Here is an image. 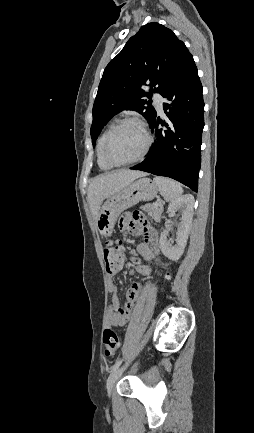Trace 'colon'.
Here are the masks:
<instances>
[{
	"instance_id": "obj_1",
	"label": "colon",
	"mask_w": 254,
	"mask_h": 433,
	"mask_svg": "<svg viewBox=\"0 0 254 433\" xmlns=\"http://www.w3.org/2000/svg\"><path fill=\"white\" fill-rule=\"evenodd\" d=\"M132 220H142L141 215L137 212L131 215ZM123 249L114 242H107L103 248V257L108 272L118 270L122 261ZM104 354L108 357L113 356L120 348V339L117 331L108 326L103 332Z\"/></svg>"
}]
</instances>
